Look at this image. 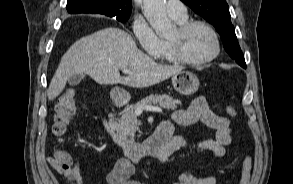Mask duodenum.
Returning <instances> with one entry per match:
<instances>
[{
  "label": "duodenum",
  "mask_w": 293,
  "mask_h": 184,
  "mask_svg": "<svg viewBox=\"0 0 293 184\" xmlns=\"http://www.w3.org/2000/svg\"><path fill=\"white\" fill-rule=\"evenodd\" d=\"M112 103L116 108H120L126 103V97L115 93ZM103 127L112 142L132 161L158 157L172 149V126L168 121L161 122L155 132L143 142H134L121 135L112 117L103 119Z\"/></svg>",
  "instance_id": "410a0bca"
}]
</instances>
